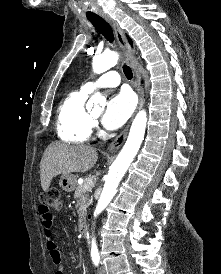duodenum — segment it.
<instances>
[{"instance_id": "410a0bca", "label": "duodenum", "mask_w": 221, "mask_h": 274, "mask_svg": "<svg viewBox=\"0 0 221 274\" xmlns=\"http://www.w3.org/2000/svg\"><path fill=\"white\" fill-rule=\"evenodd\" d=\"M89 225L87 222H83L80 226L79 233L82 239H85L88 235Z\"/></svg>"}]
</instances>
